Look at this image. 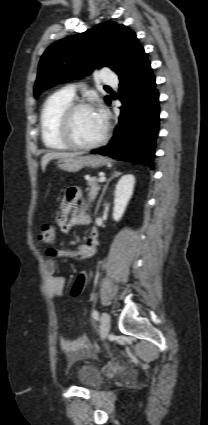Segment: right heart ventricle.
I'll list each match as a JSON object with an SVG mask.
<instances>
[{"mask_svg":"<svg viewBox=\"0 0 208 425\" xmlns=\"http://www.w3.org/2000/svg\"><path fill=\"white\" fill-rule=\"evenodd\" d=\"M73 102V98L63 91L48 97L40 114V131L42 141L50 150H67L70 147L59 135L60 118L63 111Z\"/></svg>","mask_w":208,"mask_h":425,"instance_id":"e07e8e85","label":"right heart ventricle"}]
</instances>
